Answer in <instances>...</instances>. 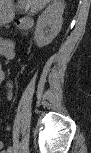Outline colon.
<instances>
[{"label": "colon", "instance_id": "colon-1", "mask_svg": "<svg viewBox=\"0 0 91 153\" xmlns=\"http://www.w3.org/2000/svg\"><path fill=\"white\" fill-rule=\"evenodd\" d=\"M19 25L23 29H28L32 25V22L29 19H25V20L20 21ZM8 41H9L8 38H3L1 40V43H2V45H6V44H8Z\"/></svg>", "mask_w": 91, "mask_h": 153}]
</instances>
